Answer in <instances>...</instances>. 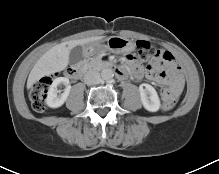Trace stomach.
Listing matches in <instances>:
<instances>
[{
  "label": "stomach",
  "instance_id": "stomach-1",
  "mask_svg": "<svg viewBox=\"0 0 219 174\" xmlns=\"http://www.w3.org/2000/svg\"><path fill=\"white\" fill-rule=\"evenodd\" d=\"M86 48L90 55L106 51L120 54L132 52L135 48V44L124 37L111 36L101 41L88 43Z\"/></svg>",
  "mask_w": 219,
  "mask_h": 174
}]
</instances>
